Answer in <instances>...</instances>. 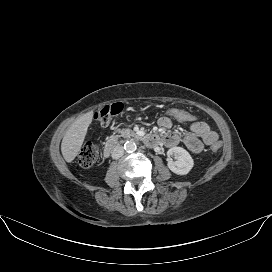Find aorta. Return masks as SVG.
Listing matches in <instances>:
<instances>
[{"label":"aorta","instance_id":"obj_1","mask_svg":"<svg viewBox=\"0 0 272 272\" xmlns=\"http://www.w3.org/2000/svg\"><path fill=\"white\" fill-rule=\"evenodd\" d=\"M124 149L126 152H134L137 149V145L133 140H128L124 144Z\"/></svg>","mask_w":272,"mask_h":272}]
</instances>
